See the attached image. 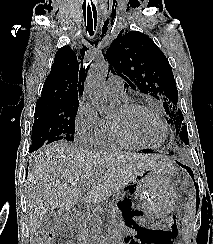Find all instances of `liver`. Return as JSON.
Returning <instances> with one entry per match:
<instances>
[{"label": "liver", "mask_w": 213, "mask_h": 244, "mask_svg": "<svg viewBox=\"0 0 213 244\" xmlns=\"http://www.w3.org/2000/svg\"><path fill=\"white\" fill-rule=\"evenodd\" d=\"M169 166L161 155L91 151L65 141L39 151L27 176V213L35 232L49 211L68 214L91 185L84 203H100L123 189L135 175Z\"/></svg>", "instance_id": "1"}]
</instances>
